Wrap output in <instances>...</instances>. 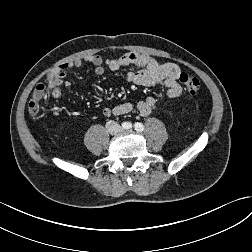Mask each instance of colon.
Wrapping results in <instances>:
<instances>
[{"label":"colon","instance_id":"5ec220e1","mask_svg":"<svg viewBox=\"0 0 252 252\" xmlns=\"http://www.w3.org/2000/svg\"><path fill=\"white\" fill-rule=\"evenodd\" d=\"M179 81L182 83L185 87V89L190 93L191 95H195L200 90V81L199 79L191 74V73H181L179 75ZM45 86L43 84H38L35 87L33 97L31 101L28 104V111L30 115L35 116L39 113L41 109V99L44 95Z\"/></svg>","mask_w":252,"mask_h":252}]
</instances>
